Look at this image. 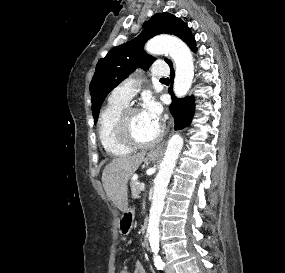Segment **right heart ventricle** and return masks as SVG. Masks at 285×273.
Wrapping results in <instances>:
<instances>
[{"instance_id":"e07e8e85","label":"right heart ventricle","mask_w":285,"mask_h":273,"mask_svg":"<svg viewBox=\"0 0 285 273\" xmlns=\"http://www.w3.org/2000/svg\"><path fill=\"white\" fill-rule=\"evenodd\" d=\"M127 104L109 101L99 117L98 136L104 150L112 156H125L132 151L117 138L116 123L121 111Z\"/></svg>"}]
</instances>
